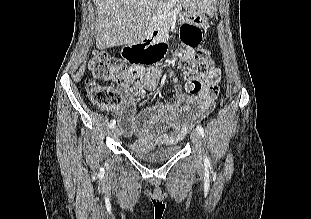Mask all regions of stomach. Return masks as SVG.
<instances>
[{"mask_svg": "<svg viewBox=\"0 0 311 219\" xmlns=\"http://www.w3.org/2000/svg\"><path fill=\"white\" fill-rule=\"evenodd\" d=\"M191 0H182L183 6L185 7V12L179 15L180 22H191L198 26H205L208 22L207 17H205L202 13H199L197 10L192 12L190 11Z\"/></svg>", "mask_w": 311, "mask_h": 219, "instance_id": "stomach-1", "label": "stomach"}]
</instances>
